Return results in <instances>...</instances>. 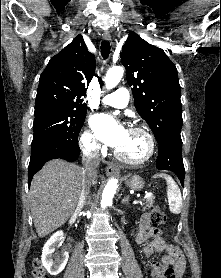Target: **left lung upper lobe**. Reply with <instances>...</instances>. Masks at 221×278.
<instances>
[{"mask_svg":"<svg viewBox=\"0 0 221 278\" xmlns=\"http://www.w3.org/2000/svg\"><path fill=\"white\" fill-rule=\"evenodd\" d=\"M138 114L156 140L181 138L182 105L178 73L165 52L134 32L129 33L120 53Z\"/></svg>","mask_w":221,"mask_h":278,"instance_id":"1","label":"left lung upper lobe"}]
</instances>
